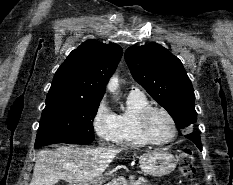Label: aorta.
I'll list each match as a JSON object with an SVG mask.
<instances>
[{"label": "aorta", "instance_id": "1", "mask_svg": "<svg viewBox=\"0 0 233 185\" xmlns=\"http://www.w3.org/2000/svg\"><path fill=\"white\" fill-rule=\"evenodd\" d=\"M118 81H119V79L116 75H113L111 77V79L107 85V89L109 90V92H111L113 94L116 93L118 86H119Z\"/></svg>", "mask_w": 233, "mask_h": 185}]
</instances>
